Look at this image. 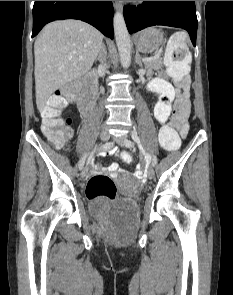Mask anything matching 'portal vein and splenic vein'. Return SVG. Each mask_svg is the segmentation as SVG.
I'll list each match as a JSON object with an SVG mask.
<instances>
[{
    "label": "portal vein and splenic vein",
    "mask_w": 233,
    "mask_h": 295,
    "mask_svg": "<svg viewBox=\"0 0 233 295\" xmlns=\"http://www.w3.org/2000/svg\"><path fill=\"white\" fill-rule=\"evenodd\" d=\"M154 59H156V57H149V58H144L143 61L146 62V61H151Z\"/></svg>",
    "instance_id": "obj_1"
}]
</instances>
